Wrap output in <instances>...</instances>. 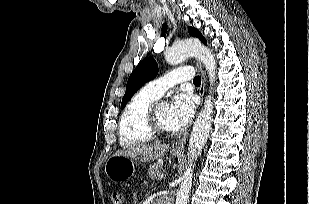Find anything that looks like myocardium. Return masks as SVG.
I'll use <instances>...</instances> for the list:
<instances>
[{"instance_id": "f54148a6", "label": "myocardium", "mask_w": 309, "mask_h": 204, "mask_svg": "<svg viewBox=\"0 0 309 204\" xmlns=\"http://www.w3.org/2000/svg\"><path fill=\"white\" fill-rule=\"evenodd\" d=\"M157 105L152 104L146 113L145 124L147 129L153 134V136H166L172 133V130L163 128L157 119L156 115Z\"/></svg>"}]
</instances>
